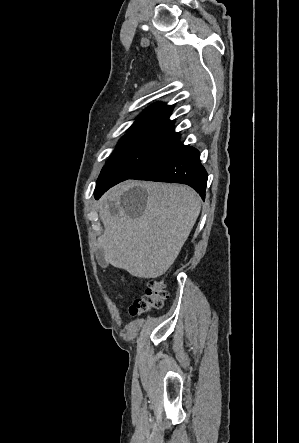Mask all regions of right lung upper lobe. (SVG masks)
<instances>
[{
	"mask_svg": "<svg viewBox=\"0 0 299 443\" xmlns=\"http://www.w3.org/2000/svg\"><path fill=\"white\" fill-rule=\"evenodd\" d=\"M173 108L170 105L166 104H155L144 111L141 114L135 123L129 128L136 127L145 122L151 123H170L169 116L172 112Z\"/></svg>",
	"mask_w": 299,
	"mask_h": 443,
	"instance_id": "obj_1",
	"label": "right lung upper lobe"
}]
</instances>
